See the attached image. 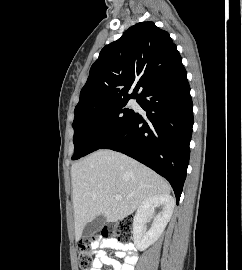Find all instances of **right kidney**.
I'll use <instances>...</instances> for the list:
<instances>
[{
  "label": "right kidney",
  "mask_w": 242,
  "mask_h": 270,
  "mask_svg": "<svg viewBox=\"0 0 242 270\" xmlns=\"http://www.w3.org/2000/svg\"><path fill=\"white\" fill-rule=\"evenodd\" d=\"M162 211L155 215V208ZM174 199L167 194L154 195L146 199L137 209L133 219V237L137 249L143 251L158 240L163 233L173 213ZM153 218L149 231H146V221Z\"/></svg>",
  "instance_id": "right-kidney-1"
}]
</instances>
